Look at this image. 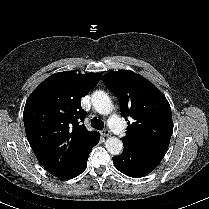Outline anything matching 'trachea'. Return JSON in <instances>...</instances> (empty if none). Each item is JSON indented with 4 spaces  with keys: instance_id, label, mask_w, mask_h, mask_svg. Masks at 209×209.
Instances as JSON below:
<instances>
[{
    "instance_id": "3493384b",
    "label": "trachea",
    "mask_w": 209,
    "mask_h": 209,
    "mask_svg": "<svg viewBox=\"0 0 209 209\" xmlns=\"http://www.w3.org/2000/svg\"><path fill=\"white\" fill-rule=\"evenodd\" d=\"M91 126L97 130H101L104 127V123L99 119L93 118L91 121Z\"/></svg>"
}]
</instances>
